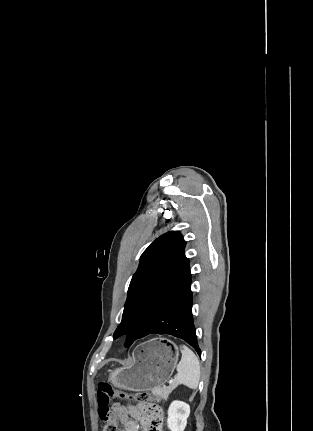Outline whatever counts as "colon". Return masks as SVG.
I'll return each mask as SVG.
<instances>
[{
	"instance_id": "obj_1",
	"label": "colon",
	"mask_w": 313,
	"mask_h": 431,
	"mask_svg": "<svg viewBox=\"0 0 313 431\" xmlns=\"http://www.w3.org/2000/svg\"><path fill=\"white\" fill-rule=\"evenodd\" d=\"M237 121H241L236 119ZM112 398L133 400L146 406L147 412L153 418L152 431H161L162 412L159 406L160 400L148 392L128 393L113 387L110 383L102 381L98 384L97 401L98 412L104 422L102 431H119L115 421V415L111 412L109 404Z\"/></svg>"
}]
</instances>
